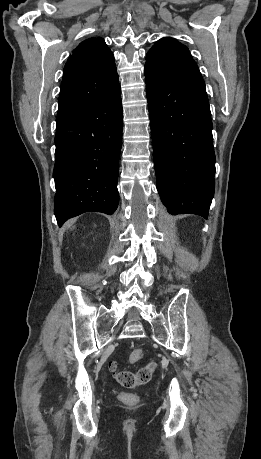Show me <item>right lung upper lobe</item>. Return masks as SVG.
Masks as SVG:
<instances>
[{
    "mask_svg": "<svg viewBox=\"0 0 261 459\" xmlns=\"http://www.w3.org/2000/svg\"><path fill=\"white\" fill-rule=\"evenodd\" d=\"M119 85L114 56L102 38L81 42L68 58L61 82L57 120L96 103Z\"/></svg>",
    "mask_w": 261,
    "mask_h": 459,
    "instance_id": "cb5924a9",
    "label": "right lung upper lobe"
}]
</instances>
